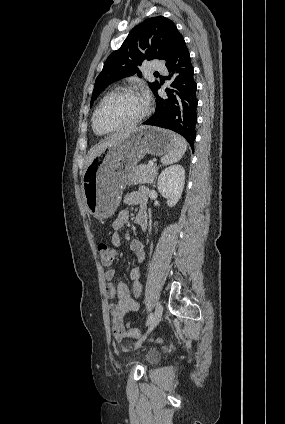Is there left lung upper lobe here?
Segmentation results:
<instances>
[{
  "mask_svg": "<svg viewBox=\"0 0 285 424\" xmlns=\"http://www.w3.org/2000/svg\"><path fill=\"white\" fill-rule=\"evenodd\" d=\"M181 36L176 25L163 16L148 18L135 26L122 46L110 54L103 70L96 78L91 106L109 84L135 73L141 77L137 66L144 60L164 59L167 61L176 41ZM149 85L154 91L159 83L156 81Z\"/></svg>",
  "mask_w": 285,
  "mask_h": 424,
  "instance_id": "5c2ea615",
  "label": "left lung upper lobe"
}]
</instances>
